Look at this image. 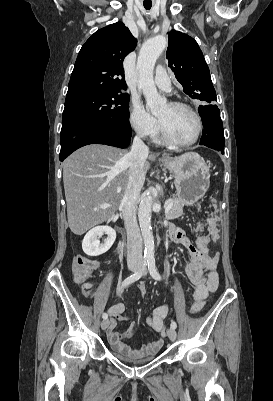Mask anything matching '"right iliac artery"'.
I'll list each match as a JSON object with an SVG mask.
<instances>
[{"instance_id": "82829eb1", "label": "right iliac artery", "mask_w": 273, "mask_h": 401, "mask_svg": "<svg viewBox=\"0 0 273 401\" xmlns=\"http://www.w3.org/2000/svg\"><path fill=\"white\" fill-rule=\"evenodd\" d=\"M147 263H148V259L144 258V262H143L142 268L138 272H135L134 274H132L129 277H127L122 282V284L120 286V289H123L124 287H126V286L130 285L131 283H133V282L137 281L138 279H140L141 276L144 273V269H145V266L147 265ZM107 317H108V315L106 313H103L102 318L103 319H107Z\"/></svg>"}]
</instances>
